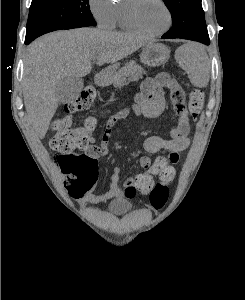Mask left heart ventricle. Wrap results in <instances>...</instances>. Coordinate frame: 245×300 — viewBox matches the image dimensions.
I'll use <instances>...</instances> for the list:
<instances>
[{"mask_svg":"<svg viewBox=\"0 0 245 300\" xmlns=\"http://www.w3.org/2000/svg\"><path fill=\"white\" fill-rule=\"evenodd\" d=\"M136 14L140 24L152 32L163 29L168 21L166 11L158 0H141Z\"/></svg>","mask_w":245,"mask_h":300,"instance_id":"left-heart-ventricle-1","label":"left heart ventricle"}]
</instances>
